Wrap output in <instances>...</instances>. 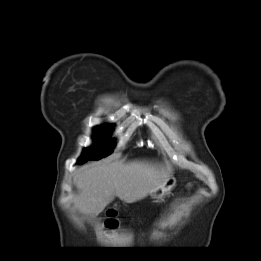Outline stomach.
Masks as SVG:
<instances>
[{
	"label": "stomach",
	"mask_w": 261,
	"mask_h": 261,
	"mask_svg": "<svg viewBox=\"0 0 261 261\" xmlns=\"http://www.w3.org/2000/svg\"><path fill=\"white\" fill-rule=\"evenodd\" d=\"M176 180L173 177H169L166 183L161 186L160 188H157L151 193V196L153 198H160L167 194L174 186H175Z\"/></svg>",
	"instance_id": "stomach-1"
}]
</instances>
